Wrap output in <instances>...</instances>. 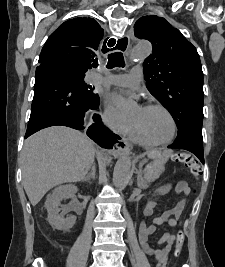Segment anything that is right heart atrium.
Here are the masks:
<instances>
[{
	"label": "right heart atrium",
	"instance_id": "1",
	"mask_svg": "<svg viewBox=\"0 0 225 267\" xmlns=\"http://www.w3.org/2000/svg\"><path fill=\"white\" fill-rule=\"evenodd\" d=\"M103 121L109 128L121 134H126L133 127L129 121L121 118L109 104L104 107Z\"/></svg>",
	"mask_w": 225,
	"mask_h": 267
}]
</instances>
